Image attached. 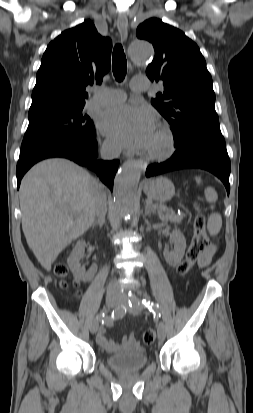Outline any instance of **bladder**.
<instances>
[{"label":"bladder","mask_w":253,"mask_h":413,"mask_svg":"<svg viewBox=\"0 0 253 413\" xmlns=\"http://www.w3.org/2000/svg\"><path fill=\"white\" fill-rule=\"evenodd\" d=\"M107 365L113 370L131 372L143 369L148 364V357L142 348L134 351L107 356Z\"/></svg>","instance_id":"31cf9c89"}]
</instances>
